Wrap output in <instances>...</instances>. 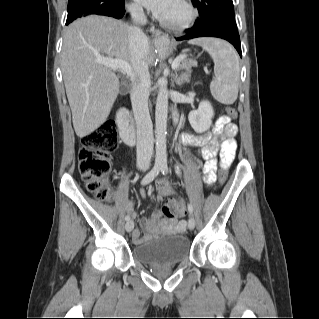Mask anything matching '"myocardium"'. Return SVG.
Listing matches in <instances>:
<instances>
[{
  "label": "myocardium",
  "mask_w": 319,
  "mask_h": 319,
  "mask_svg": "<svg viewBox=\"0 0 319 319\" xmlns=\"http://www.w3.org/2000/svg\"><path fill=\"white\" fill-rule=\"evenodd\" d=\"M179 1L186 11L185 16L179 20H167L160 17L158 18V22L161 26L174 31H182L194 22L198 14L197 9L190 0Z\"/></svg>",
  "instance_id": "1"
}]
</instances>
